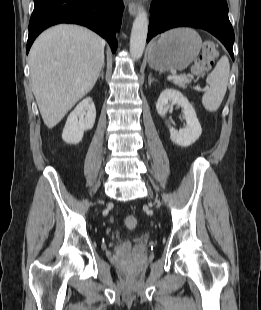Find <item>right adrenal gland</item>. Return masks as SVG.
I'll return each mask as SVG.
<instances>
[{"label":"right adrenal gland","mask_w":261,"mask_h":310,"mask_svg":"<svg viewBox=\"0 0 261 310\" xmlns=\"http://www.w3.org/2000/svg\"><path fill=\"white\" fill-rule=\"evenodd\" d=\"M99 77H101L102 79H104V64H103V66H102L101 73H100Z\"/></svg>","instance_id":"right-adrenal-gland-1"}]
</instances>
